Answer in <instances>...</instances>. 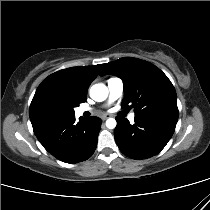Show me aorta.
<instances>
[{"instance_id": "762f6f07", "label": "aorta", "mask_w": 210, "mask_h": 210, "mask_svg": "<svg viewBox=\"0 0 210 210\" xmlns=\"http://www.w3.org/2000/svg\"><path fill=\"white\" fill-rule=\"evenodd\" d=\"M90 97L97 101V102H102L106 100L108 97V88L102 83H98L93 85L90 88ZM117 125V122L114 118H109L106 121V127L109 129H114Z\"/></svg>"}]
</instances>
